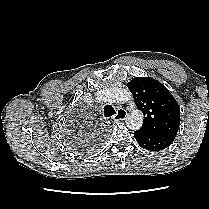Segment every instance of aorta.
<instances>
[{
  "mask_svg": "<svg viewBox=\"0 0 209 209\" xmlns=\"http://www.w3.org/2000/svg\"><path fill=\"white\" fill-rule=\"evenodd\" d=\"M99 99L108 103H123L132 100V94L127 89L111 87L103 90L99 95ZM125 122L129 129L139 130L143 124L142 112L134 107L127 115Z\"/></svg>",
  "mask_w": 209,
  "mask_h": 209,
  "instance_id": "1",
  "label": "aorta"
}]
</instances>
